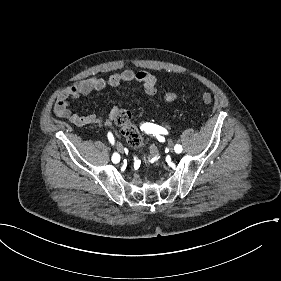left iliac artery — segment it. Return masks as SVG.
<instances>
[{
  "label": "left iliac artery",
  "mask_w": 281,
  "mask_h": 281,
  "mask_svg": "<svg viewBox=\"0 0 281 281\" xmlns=\"http://www.w3.org/2000/svg\"><path fill=\"white\" fill-rule=\"evenodd\" d=\"M141 129L144 130L146 133L153 134V135H158V134H167V130L164 129L163 127H160L155 124L151 123H144L141 126ZM174 150L176 153H181L182 151V146L179 144H176L174 147Z\"/></svg>",
  "instance_id": "1"
}]
</instances>
